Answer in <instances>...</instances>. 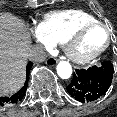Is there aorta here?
Instances as JSON below:
<instances>
[{
  "label": "aorta",
  "mask_w": 117,
  "mask_h": 117,
  "mask_svg": "<svg viewBox=\"0 0 117 117\" xmlns=\"http://www.w3.org/2000/svg\"><path fill=\"white\" fill-rule=\"evenodd\" d=\"M57 74L62 79H68L72 75V67L67 61H61L57 65Z\"/></svg>",
  "instance_id": "762f6f07"
}]
</instances>
